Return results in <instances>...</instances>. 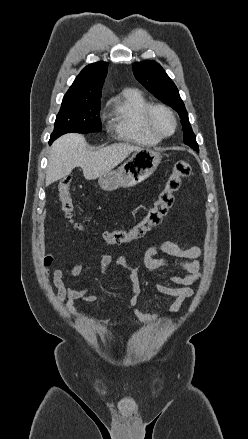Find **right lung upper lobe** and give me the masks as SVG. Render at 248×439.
I'll use <instances>...</instances> for the list:
<instances>
[{
  "instance_id": "obj_1",
  "label": "right lung upper lobe",
  "mask_w": 248,
  "mask_h": 439,
  "mask_svg": "<svg viewBox=\"0 0 248 439\" xmlns=\"http://www.w3.org/2000/svg\"><path fill=\"white\" fill-rule=\"evenodd\" d=\"M106 62L89 64L76 77L63 100L96 101L101 98V88L107 73Z\"/></svg>"
}]
</instances>
